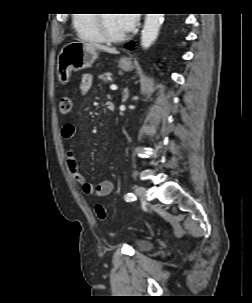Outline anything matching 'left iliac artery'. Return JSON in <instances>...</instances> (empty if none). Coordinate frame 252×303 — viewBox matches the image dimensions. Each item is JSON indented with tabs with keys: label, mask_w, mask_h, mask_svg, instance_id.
<instances>
[{
	"label": "left iliac artery",
	"mask_w": 252,
	"mask_h": 303,
	"mask_svg": "<svg viewBox=\"0 0 252 303\" xmlns=\"http://www.w3.org/2000/svg\"><path fill=\"white\" fill-rule=\"evenodd\" d=\"M125 200L126 201H135L136 196L133 193H128V194L125 195Z\"/></svg>",
	"instance_id": "44dca946"
}]
</instances>
